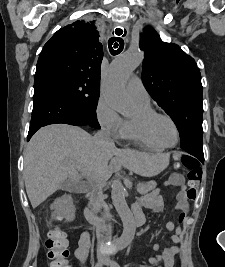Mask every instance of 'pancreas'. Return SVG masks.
<instances>
[{"label": "pancreas", "instance_id": "cf45deb5", "mask_svg": "<svg viewBox=\"0 0 225 267\" xmlns=\"http://www.w3.org/2000/svg\"><path fill=\"white\" fill-rule=\"evenodd\" d=\"M157 184L155 181H149L145 184H138L137 191L139 194L144 195L148 192L154 190L156 188Z\"/></svg>", "mask_w": 225, "mask_h": 267}]
</instances>
